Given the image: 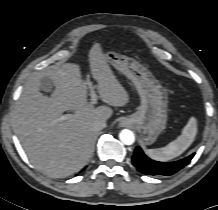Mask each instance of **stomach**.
Returning <instances> with one entry per match:
<instances>
[{
    "label": "stomach",
    "instance_id": "0dacf381",
    "mask_svg": "<svg viewBox=\"0 0 218 210\" xmlns=\"http://www.w3.org/2000/svg\"><path fill=\"white\" fill-rule=\"evenodd\" d=\"M107 62L135 85L141 99L137 111L122 123H130L143 144H153L165 129L168 117L167 92L153 75L135 60L113 51L104 53Z\"/></svg>",
    "mask_w": 218,
    "mask_h": 210
}]
</instances>
